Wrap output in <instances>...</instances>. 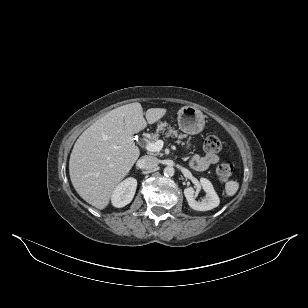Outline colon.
<instances>
[{
  "mask_svg": "<svg viewBox=\"0 0 308 308\" xmlns=\"http://www.w3.org/2000/svg\"><path fill=\"white\" fill-rule=\"evenodd\" d=\"M204 149L208 153H217L221 150V141L216 135H209L204 140ZM234 172L232 163L223 161L216 167V175L220 181H227Z\"/></svg>",
  "mask_w": 308,
  "mask_h": 308,
  "instance_id": "1",
  "label": "colon"
}]
</instances>
